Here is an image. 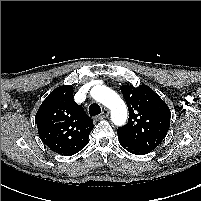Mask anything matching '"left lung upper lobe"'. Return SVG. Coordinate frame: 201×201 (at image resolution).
Masks as SVG:
<instances>
[{"mask_svg": "<svg viewBox=\"0 0 201 201\" xmlns=\"http://www.w3.org/2000/svg\"><path fill=\"white\" fill-rule=\"evenodd\" d=\"M129 110L128 123L117 129L119 136L149 151L165 138L170 123L167 104L149 86L120 87Z\"/></svg>", "mask_w": 201, "mask_h": 201, "instance_id": "obj_1", "label": "left lung upper lobe"}]
</instances>
